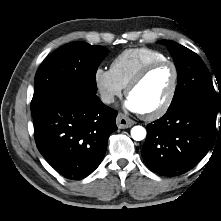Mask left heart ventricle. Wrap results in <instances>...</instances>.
Wrapping results in <instances>:
<instances>
[{"label": "left heart ventricle", "instance_id": "b2bd125f", "mask_svg": "<svg viewBox=\"0 0 221 221\" xmlns=\"http://www.w3.org/2000/svg\"><path fill=\"white\" fill-rule=\"evenodd\" d=\"M173 80L169 65L154 69L130 94L141 112H150L159 107L167 97Z\"/></svg>", "mask_w": 221, "mask_h": 221}]
</instances>
